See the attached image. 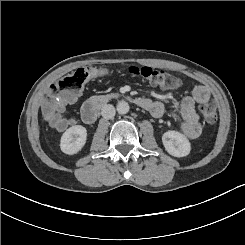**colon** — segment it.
Instances as JSON below:
<instances>
[{
	"label": "colon",
	"instance_id": "obj_1",
	"mask_svg": "<svg viewBox=\"0 0 245 245\" xmlns=\"http://www.w3.org/2000/svg\"><path fill=\"white\" fill-rule=\"evenodd\" d=\"M121 72L138 76L148 83L163 89L175 88L179 84L178 78L174 75L164 70L147 66H130L122 68ZM107 73L108 70L105 68L82 67L65 74L51 85V93L44 102V109L47 111L53 110L60 98L69 99L76 96L91 79ZM199 110L207 123L213 124L216 122L217 111L212 102L201 103Z\"/></svg>",
	"mask_w": 245,
	"mask_h": 245
}]
</instances>
